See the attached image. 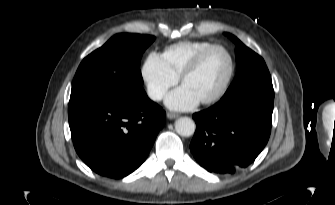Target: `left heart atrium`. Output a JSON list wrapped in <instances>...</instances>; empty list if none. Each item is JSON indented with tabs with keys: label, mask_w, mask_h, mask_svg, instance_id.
<instances>
[{
	"label": "left heart atrium",
	"mask_w": 335,
	"mask_h": 205,
	"mask_svg": "<svg viewBox=\"0 0 335 205\" xmlns=\"http://www.w3.org/2000/svg\"><path fill=\"white\" fill-rule=\"evenodd\" d=\"M166 105L174 110H188L199 103V99L184 85L175 89L166 98Z\"/></svg>",
	"instance_id": "left-heart-atrium-1"
}]
</instances>
